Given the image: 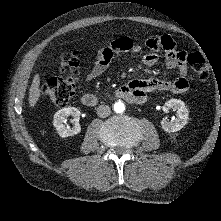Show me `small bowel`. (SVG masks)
Returning a JSON list of instances; mask_svg holds the SVG:
<instances>
[{"mask_svg": "<svg viewBox=\"0 0 221 221\" xmlns=\"http://www.w3.org/2000/svg\"><path fill=\"white\" fill-rule=\"evenodd\" d=\"M144 47L149 52L143 56V64L149 67L154 66L158 62L157 52L163 51L167 68L177 70L179 77L172 81L158 78L132 80L128 86L136 94L138 103L144 102L149 92L165 90L177 94L186 92L189 88L187 54L177 49L176 43L169 35L150 36L144 46L134 43L130 37H119L110 44L95 49V59L85 74V82H89L103 74L120 53L126 51L140 52Z\"/></svg>", "mask_w": 221, "mask_h": 221, "instance_id": "small-bowel-1", "label": "small bowel"}]
</instances>
